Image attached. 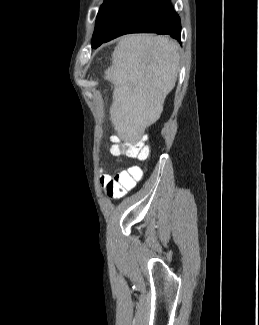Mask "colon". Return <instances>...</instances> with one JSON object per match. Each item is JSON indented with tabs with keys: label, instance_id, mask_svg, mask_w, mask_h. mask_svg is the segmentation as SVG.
I'll return each mask as SVG.
<instances>
[{
	"label": "colon",
	"instance_id": "5ec220e1",
	"mask_svg": "<svg viewBox=\"0 0 259 325\" xmlns=\"http://www.w3.org/2000/svg\"><path fill=\"white\" fill-rule=\"evenodd\" d=\"M111 149L116 155L124 154L138 159H145L149 154L148 147L142 141L123 143L119 140H114ZM141 177L142 172L139 169L129 168L117 172L104 184L106 193L110 198H121L136 185Z\"/></svg>",
	"mask_w": 259,
	"mask_h": 325
}]
</instances>
